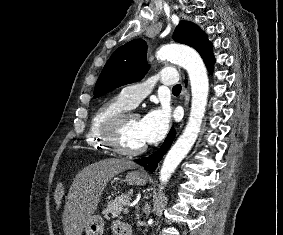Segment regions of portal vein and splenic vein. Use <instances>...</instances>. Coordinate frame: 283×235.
Segmentation results:
<instances>
[{"label":"portal vein and splenic vein","instance_id":"portal-vein-and-splenic-vein-1","mask_svg":"<svg viewBox=\"0 0 283 235\" xmlns=\"http://www.w3.org/2000/svg\"><path fill=\"white\" fill-rule=\"evenodd\" d=\"M128 212H129V206L127 205V206L124 208L123 213H124V214H127Z\"/></svg>","mask_w":283,"mask_h":235}]
</instances>
